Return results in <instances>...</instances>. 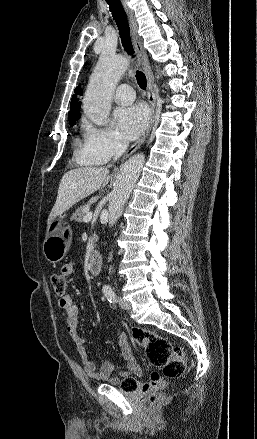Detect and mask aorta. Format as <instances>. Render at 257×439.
<instances>
[{
    "label": "aorta",
    "mask_w": 257,
    "mask_h": 439,
    "mask_svg": "<svg viewBox=\"0 0 257 439\" xmlns=\"http://www.w3.org/2000/svg\"><path fill=\"white\" fill-rule=\"evenodd\" d=\"M128 67L123 56L103 53L93 72L84 99L85 115L97 125H106L114 89ZM144 155L136 154L126 161L117 176L110 194L109 226H113L123 212L132 189L141 173Z\"/></svg>",
    "instance_id": "762f6f07"
}]
</instances>
